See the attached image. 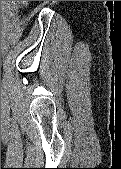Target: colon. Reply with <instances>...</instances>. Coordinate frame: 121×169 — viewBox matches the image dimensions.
<instances>
[{"label":"colon","instance_id":"1","mask_svg":"<svg viewBox=\"0 0 121 169\" xmlns=\"http://www.w3.org/2000/svg\"><path fill=\"white\" fill-rule=\"evenodd\" d=\"M18 3H20L21 5H26L28 3V1H16Z\"/></svg>","mask_w":121,"mask_h":169}]
</instances>
